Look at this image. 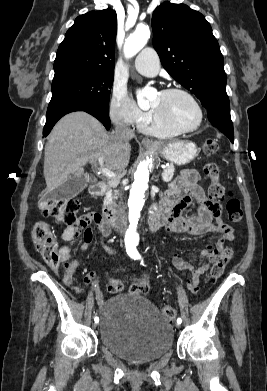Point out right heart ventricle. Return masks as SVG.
<instances>
[{"instance_id":"e07e8e85","label":"right heart ventricle","mask_w":267,"mask_h":391,"mask_svg":"<svg viewBox=\"0 0 267 391\" xmlns=\"http://www.w3.org/2000/svg\"><path fill=\"white\" fill-rule=\"evenodd\" d=\"M140 130L144 133L160 137V138H169L177 135L176 132L171 131L167 128H164L158 125L152 117H150L141 127Z\"/></svg>"}]
</instances>
